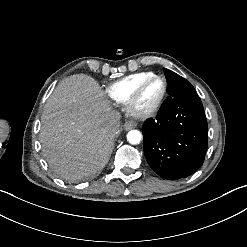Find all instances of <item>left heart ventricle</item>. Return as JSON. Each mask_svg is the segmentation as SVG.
I'll use <instances>...</instances> for the list:
<instances>
[{
	"instance_id": "1",
	"label": "left heart ventricle",
	"mask_w": 247,
	"mask_h": 247,
	"mask_svg": "<svg viewBox=\"0 0 247 247\" xmlns=\"http://www.w3.org/2000/svg\"><path fill=\"white\" fill-rule=\"evenodd\" d=\"M164 84L160 80L149 81L141 90L138 107L148 109L152 107L162 96Z\"/></svg>"
}]
</instances>
